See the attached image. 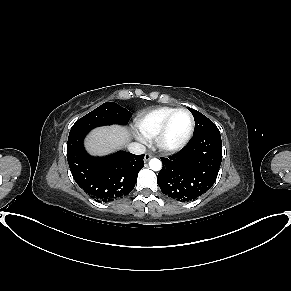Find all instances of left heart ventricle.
Returning <instances> with one entry per match:
<instances>
[{
	"label": "left heart ventricle",
	"mask_w": 291,
	"mask_h": 291,
	"mask_svg": "<svg viewBox=\"0 0 291 291\" xmlns=\"http://www.w3.org/2000/svg\"><path fill=\"white\" fill-rule=\"evenodd\" d=\"M190 127V117L186 112L177 113L169 126L166 142L168 144H175L179 142L186 135Z\"/></svg>",
	"instance_id": "obj_1"
}]
</instances>
